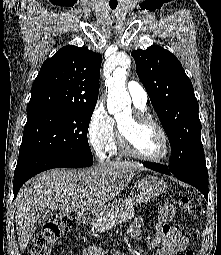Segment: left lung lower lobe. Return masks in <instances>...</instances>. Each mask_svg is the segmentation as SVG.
I'll return each instance as SVG.
<instances>
[{"mask_svg": "<svg viewBox=\"0 0 221 255\" xmlns=\"http://www.w3.org/2000/svg\"><path fill=\"white\" fill-rule=\"evenodd\" d=\"M144 166L152 169L154 171L171 175L173 174L177 179L188 183L194 187H196L202 194H204L205 198L208 199V171L207 167H200L196 169L181 171L177 173H173L170 169L162 164L157 163H144Z\"/></svg>", "mask_w": 221, "mask_h": 255, "instance_id": "1", "label": "left lung lower lobe"}]
</instances>
